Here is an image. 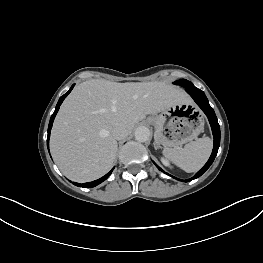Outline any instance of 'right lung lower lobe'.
I'll list each match as a JSON object with an SVG mask.
<instances>
[{
  "mask_svg": "<svg viewBox=\"0 0 263 263\" xmlns=\"http://www.w3.org/2000/svg\"><path fill=\"white\" fill-rule=\"evenodd\" d=\"M74 85L71 86L70 90L65 93L63 96L60 97L57 105H56V108H55V111L54 113L52 114L51 118H50V122H49V126H48V136H47V146L49 148V138H50V131H51V128H52V124H53V120L59 110V107L61 105V103L63 102V100L65 99V97L71 92V90L73 89ZM114 169V168H113ZM113 169L108 172L105 176L101 177L100 179L98 180H95L93 182H88V183H83L82 185L81 184H78V183H75L73 182L74 185L76 186H82V187H85V188H91V187H95L97 186L98 184L102 183L103 181H105L109 176L110 174L112 173Z\"/></svg>",
  "mask_w": 263,
  "mask_h": 263,
  "instance_id": "98d812e1",
  "label": "right lung lower lobe"
}]
</instances>
